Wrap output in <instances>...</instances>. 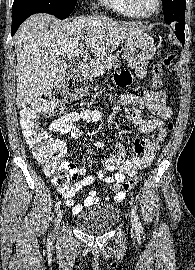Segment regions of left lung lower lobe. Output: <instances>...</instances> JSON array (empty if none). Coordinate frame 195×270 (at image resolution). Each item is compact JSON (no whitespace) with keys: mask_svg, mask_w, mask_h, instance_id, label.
Segmentation results:
<instances>
[{"mask_svg":"<svg viewBox=\"0 0 195 270\" xmlns=\"http://www.w3.org/2000/svg\"><path fill=\"white\" fill-rule=\"evenodd\" d=\"M175 26V35L179 39V41L184 46L185 43V35H184V28H185V21L184 22H174L172 23Z\"/></svg>","mask_w":195,"mask_h":270,"instance_id":"left-lung-lower-lobe-1","label":"left lung lower lobe"}]
</instances>
